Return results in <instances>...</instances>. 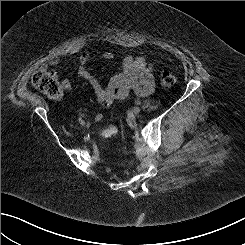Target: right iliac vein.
Masks as SVG:
<instances>
[{
    "mask_svg": "<svg viewBox=\"0 0 245 245\" xmlns=\"http://www.w3.org/2000/svg\"><path fill=\"white\" fill-rule=\"evenodd\" d=\"M80 124L81 126H85V121H82Z\"/></svg>",
    "mask_w": 245,
    "mask_h": 245,
    "instance_id": "right-iliac-vein-1",
    "label": "right iliac vein"
}]
</instances>
